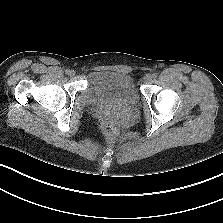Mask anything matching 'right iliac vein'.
Here are the masks:
<instances>
[{
  "instance_id": "1",
  "label": "right iliac vein",
  "mask_w": 223,
  "mask_h": 223,
  "mask_svg": "<svg viewBox=\"0 0 223 223\" xmlns=\"http://www.w3.org/2000/svg\"><path fill=\"white\" fill-rule=\"evenodd\" d=\"M69 75L70 76H74L75 75V71L74 70L70 71Z\"/></svg>"
}]
</instances>
